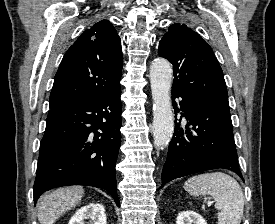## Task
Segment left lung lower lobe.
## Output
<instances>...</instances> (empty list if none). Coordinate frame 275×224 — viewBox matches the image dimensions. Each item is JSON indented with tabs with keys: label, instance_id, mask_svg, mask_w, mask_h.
Listing matches in <instances>:
<instances>
[{
	"label": "left lung lower lobe",
	"instance_id": "0a47b994",
	"mask_svg": "<svg viewBox=\"0 0 275 224\" xmlns=\"http://www.w3.org/2000/svg\"><path fill=\"white\" fill-rule=\"evenodd\" d=\"M179 97L182 116L187 120L186 131L175 119L161 187L173 179L217 168L229 169L242 176L230 111L172 91L173 103Z\"/></svg>",
	"mask_w": 275,
	"mask_h": 224
}]
</instances>
